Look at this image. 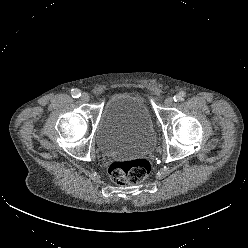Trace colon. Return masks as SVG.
Instances as JSON below:
<instances>
[{
	"label": "colon",
	"instance_id": "1",
	"mask_svg": "<svg viewBox=\"0 0 248 248\" xmlns=\"http://www.w3.org/2000/svg\"><path fill=\"white\" fill-rule=\"evenodd\" d=\"M150 171L151 165L144 158L116 161L109 167L110 178L118 185L137 184L143 181Z\"/></svg>",
	"mask_w": 248,
	"mask_h": 248
}]
</instances>
